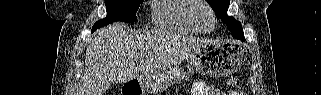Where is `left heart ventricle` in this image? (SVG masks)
Segmentation results:
<instances>
[{
	"instance_id": "left-heart-ventricle-1",
	"label": "left heart ventricle",
	"mask_w": 321,
	"mask_h": 95,
	"mask_svg": "<svg viewBox=\"0 0 321 95\" xmlns=\"http://www.w3.org/2000/svg\"><path fill=\"white\" fill-rule=\"evenodd\" d=\"M197 20L199 24L204 28V29H210L212 26V21L211 17L206 9H199L197 11Z\"/></svg>"
}]
</instances>
